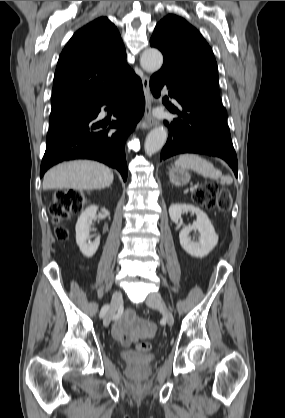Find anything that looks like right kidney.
Instances as JSON below:
<instances>
[{"instance_id":"1","label":"right kidney","mask_w":285,"mask_h":418,"mask_svg":"<svg viewBox=\"0 0 285 418\" xmlns=\"http://www.w3.org/2000/svg\"><path fill=\"white\" fill-rule=\"evenodd\" d=\"M98 207L92 205L88 207L78 218L76 223V243L80 248L82 254L91 258L97 251L100 239H96L94 242L88 241L90 239V228L92 221L96 219Z\"/></svg>"}]
</instances>
